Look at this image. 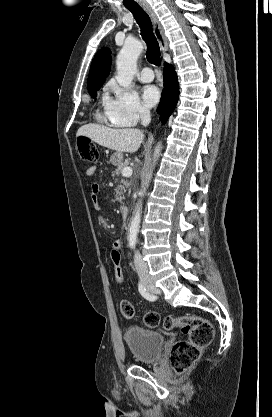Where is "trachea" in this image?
I'll use <instances>...</instances> for the list:
<instances>
[{
  "mask_svg": "<svg viewBox=\"0 0 272 417\" xmlns=\"http://www.w3.org/2000/svg\"><path fill=\"white\" fill-rule=\"evenodd\" d=\"M127 9L133 14L136 22L141 28V36L147 45L146 57L148 61L156 66H160V48L157 39L153 34L152 22L149 15L140 6H131Z\"/></svg>",
  "mask_w": 272,
  "mask_h": 417,
  "instance_id": "1",
  "label": "trachea"
}]
</instances>
